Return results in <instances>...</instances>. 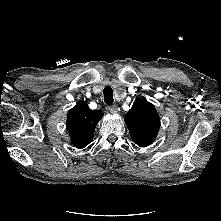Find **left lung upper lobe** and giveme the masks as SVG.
<instances>
[{"label":"left lung upper lobe","instance_id":"obj_1","mask_svg":"<svg viewBox=\"0 0 221 221\" xmlns=\"http://www.w3.org/2000/svg\"><path fill=\"white\" fill-rule=\"evenodd\" d=\"M125 122L134 143L146 147L153 143L160 128V118L153 104L138 99L125 115Z\"/></svg>","mask_w":221,"mask_h":221}]
</instances>
